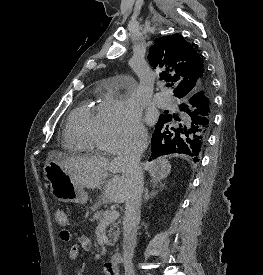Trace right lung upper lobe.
<instances>
[{
  "instance_id": "cb5924a9",
  "label": "right lung upper lobe",
  "mask_w": 263,
  "mask_h": 275,
  "mask_svg": "<svg viewBox=\"0 0 263 275\" xmlns=\"http://www.w3.org/2000/svg\"><path fill=\"white\" fill-rule=\"evenodd\" d=\"M148 60L162 72L160 79L175 84L174 96L190 94L199 90L207 82L204 64L197 50L181 35L158 37L149 49ZM209 125L213 118L212 94L208 104Z\"/></svg>"
}]
</instances>
